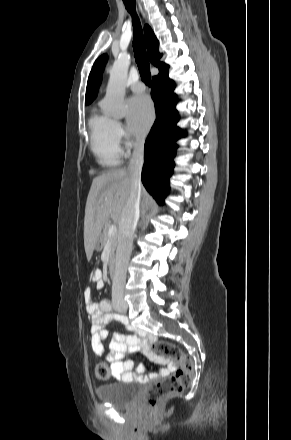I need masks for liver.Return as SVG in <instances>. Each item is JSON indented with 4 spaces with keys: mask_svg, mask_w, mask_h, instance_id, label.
I'll return each instance as SVG.
<instances>
[{
    "mask_svg": "<svg viewBox=\"0 0 291 440\" xmlns=\"http://www.w3.org/2000/svg\"><path fill=\"white\" fill-rule=\"evenodd\" d=\"M130 175L126 169H114L93 179L85 207L84 247L88 260L98 244L108 219L119 224L129 198ZM144 197L148 195L144 192Z\"/></svg>",
    "mask_w": 291,
    "mask_h": 440,
    "instance_id": "1",
    "label": "liver"
}]
</instances>
